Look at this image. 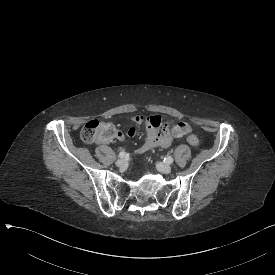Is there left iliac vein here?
I'll use <instances>...</instances> for the list:
<instances>
[{"instance_id": "left-iliac-vein-1", "label": "left iliac vein", "mask_w": 275, "mask_h": 275, "mask_svg": "<svg viewBox=\"0 0 275 275\" xmlns=\"http://www.w3.org/2000/svg\"><path fill=\"white\" fill-rule=\"evenodd\" d=\"M157 169L161 172V173H165V174H169L171 172V167L170 165L163 163V162H159L157 164Z\"/></svg>"}]
</instances>
